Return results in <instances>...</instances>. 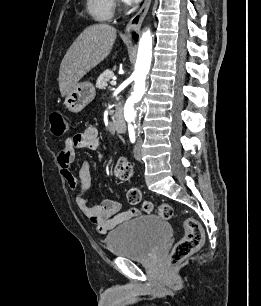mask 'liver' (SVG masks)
<instances>
[{
    "instance_id": "1",
    "label": "liver",
    "mask_w": 261,
    "mask_h": 306,
    "mask_svg": "<svg viewBox=\"0 0 261 306\" xmlns=\"http://www.w3.org/2000/svg\"><path fill=\"white\" fill-rule=\"evenodd\" d=\"M116 33V29L108 24H95L77 37L60 64L59 89L62 96L110 54Z\"/></svg>"
}]
</instances>
